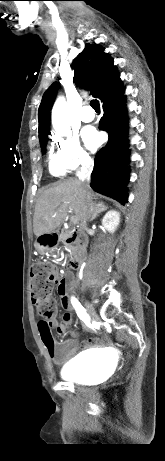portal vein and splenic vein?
I'll return each mask as SVG.
<instances>
[{"instance_id": "1", "label": "portal vein and splenic vein", "mask_w": 165, "mask_h": 461, "mask_svg": "<svg viewBox=\"0 0 165 461\" xmlns=\"http://www.w3.org/2000/svg\"><path fill=\"white\" fill-rule=\"evenodd\" d=\"M71 222L73 224H77L78 223V220L75 218V217H71Z\"/></svg>"}]
</instances>
